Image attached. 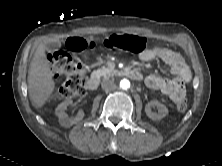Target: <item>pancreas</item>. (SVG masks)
I'll return each mask as SVG.
<instances>
[{
    "instance_id": "obj_1",
    "label": "pancreas",
    "mask_w": 222,
    "mask_h": 166,
    "mask_svg": "<svg viewBox=\"0 0 222 166\" xmlns=\"http://www.w3.org/2000/svg\"><path fill=\"white\" fill-rule=\"evenodd\" d=\"M96 73L100 76H103L104 78H108L113 76L116 73V70L102 66L101 68L96 70Z\"/></svg>"
}]
</instances>
